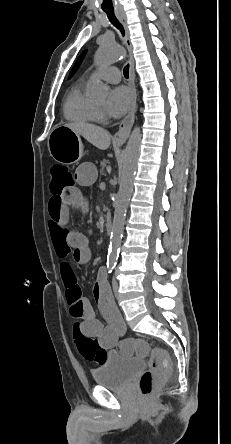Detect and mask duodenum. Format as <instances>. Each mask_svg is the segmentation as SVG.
Instances as JSON below:
<instances>
[{
  "label": "duodenum",
  "instance_id": "1",
  "mask_svg": "<svg viewBox=\"0 0 231 444\" xmlns=\"http://www.w3.org/2000/svg\"><path fill=\"white\" fill-rule=\"evenodd\" d=\"M112 229H113L112 216L108 215L105 220V230L109 234L112 232Z\"/></svg>",
  "mask_w": 231,
  "mask_h": 444
}]
</instances>
